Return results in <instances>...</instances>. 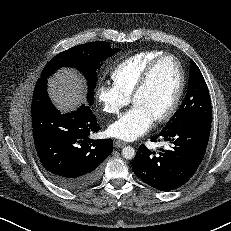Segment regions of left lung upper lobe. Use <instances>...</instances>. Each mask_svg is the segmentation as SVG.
Returning <instances> with one entry per match:
<instances>
[{
    "instance_id": "1",
    "label": "left lung upper lobe",
    "mask_w": 231,
    "mask_h": 231,
    "mask_svg": "<svg viewBox=\"0 0 231 231\" xmlns=\"http://www.w3.org/2000/svg\"><path fill=\"white\" fill-rule=\"evenodd\" d=\"M188 89L185 99L164 130L178 126L181 123L195 121L211 123L212 108L208 87L203 75L193 60H190Z\"/></svg>"
}]
</instances>
